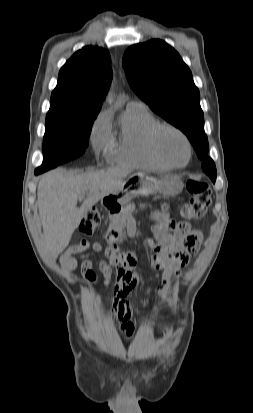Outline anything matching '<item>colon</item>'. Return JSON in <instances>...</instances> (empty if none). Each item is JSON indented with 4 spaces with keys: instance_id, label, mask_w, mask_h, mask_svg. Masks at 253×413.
<instances>
[{
    "instance_id": "obj_1",
    "label": "colon",
    "mask_w": 253,
    "mask_h": 413,
    "mask_svg": "<svg viewBox=\"0 0 253 413\" xmlns=\"http://www.w3.org/2000/svg\"><path fill=\"white\" fill-rule=\"evenodd\" d=\"M187 189L191 195L190 199L182 206L181 215L188 220H198L205 216L211 203V189L203 180H190ZM101 212L97 208H91L84 214L79 230L91 235L101 220Z\"/></svg>"
}]
</instances>
